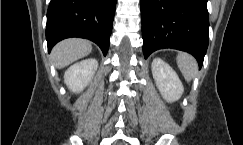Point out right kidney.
<instances>
[{"mask_svg": "<svg viewBox=\"0 0 243 145\" xmlns=\"http://www.w3.org/2000/svg\"><path fill=\"white\" fill-rule=\"evenodd\" d=\"M98 68L96 59H86L70 66L64 74V83L73 92H81L91 81Z\"/></svg>", "mask_w": 243, "mask_h": 145, "instance_id": "ca27d5eb", "label": "right kidney"}]
</instances>
